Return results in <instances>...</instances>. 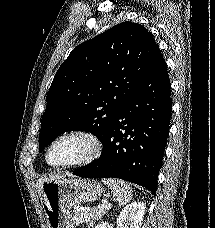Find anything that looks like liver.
I'll list each match as a JSON object with an SVG mask.
<instances>
[{"mask_svg":"<svg viewBox=\"0 0 215 228\" xmlns=\"http://www.w3.org/2000/svg\"><path fill=\"white\" fill-rule=\"evenodd\" d=\"M59 178H65V176H53V178H41V180H38L36 184V188L40 198H42V194H43L42 186L44 182H49V180H59Z\"/></svg>","mask_w":215,"mask_h":228,"instance_id":"1","label":"liver"}]
</instances>
